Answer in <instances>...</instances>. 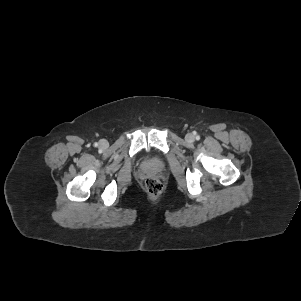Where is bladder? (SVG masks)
<instances>
[{
	"label": "bladder",
	"mask_w": 301,
	"mask_h": 301,
	"mask_svg": "<svg viewBox=\"0 0 301 301\" xmlns=\"http://www.w3.org/2000/svg\"><path fill=\"white\" fill-rule=\"evenodd\" d=\"M146 165L152 169H160L162 167V161L156 156H150L145 161Z\"/></svg>",
	"instance_id": "1"
}]
</instances>
